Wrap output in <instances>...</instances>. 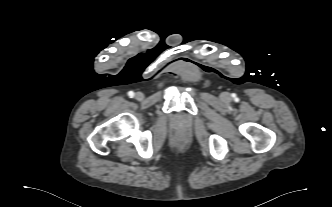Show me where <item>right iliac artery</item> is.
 Segmentation results:
<instances>
[{
	"label": "right iliac artery",
	"instance_id": "82829eb1",
	"mask_svg": "<svg viewBox=\"0 0 332 207\" xmlns=\"http://www.w3.org/2000/svg\"><path fill=\"white\" fill-rule=\"evenodd\" d=\"M128 96H129L130 98L134 97V92H133V91H129V92H128Z\"/></svg>",
	"mask_w": 332,
	"mask_h": 207
}]
</instances>
